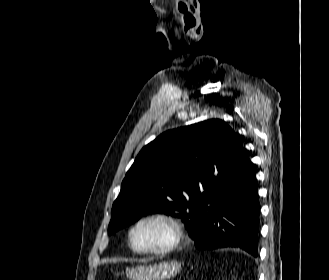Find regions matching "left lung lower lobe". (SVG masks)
Instances as JSON below:
<instances>
[{
    "label": "left lung lower lobe",
    "instance_id": "left-lung-lower-lobe-1",
    "mask_svg": "<svg viewBox=\"0 0 329 280\" xmlns=\"http://www.w3.org/2000/svg\"><path fill=\"white\" fill-rule=\"evenodd\" d=\"M237 158L233 179L203 201L197 233L191 237L198 249L235 247L257 257L259 203L254 167L243 148Z\"/></svg>",
    "mask_w": 329,
    "mask_h": 280
}]
</instances>
